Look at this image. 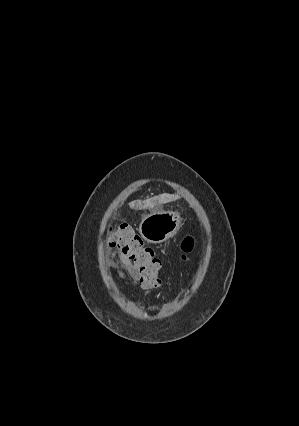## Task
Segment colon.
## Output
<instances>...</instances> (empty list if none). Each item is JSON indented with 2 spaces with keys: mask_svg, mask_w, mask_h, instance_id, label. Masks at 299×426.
Wrapping results in <instances>:
<instances>
[{
  "mask_svg": "<svg viewBox=\"0 0 299 426\" xmlns=\"http://www.w3.org/2000/svg\"><path fill=\"white\" fill-rule=\"evenodd\" d=\"M107 242L110 247L117 248L136 264L141 274L139 285L143 290L152 292L160 286L161 261L155 256L154 250L144 244L142 238L134 232L131 226L122 224L116 228H109ZM194 245L193 237L186 236L182 239L180 249L181 258L184 261L189 259Z\"/></svg>",
  "mask_w": 299,
  "mask_h": 426,
  "instance_id": "colon-1",
  "label": "colon"
}]
</instances>
